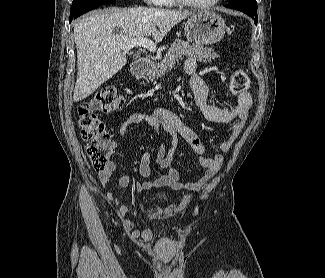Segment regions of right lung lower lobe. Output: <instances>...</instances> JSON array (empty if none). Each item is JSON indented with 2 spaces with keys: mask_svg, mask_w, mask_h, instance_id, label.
<instances>
[{
  "mask_svg": "<svg viewBox=\"0 0 325 278\" xmlns=\"http://www.w3.org/2000/svg\"><path fill=\"white\" fill-rule=\"evenodd\" d=\"M115 1L116 0H73L69 21L71 22L73 19L88 12L89 10L99 7L100 5L113 3Z\"/></svg>",
  "mask_w": 325,
  "mask_h": 278,
  "instance_id": "1",
  "label": "right lung lower lobe"
}]
</instances>
